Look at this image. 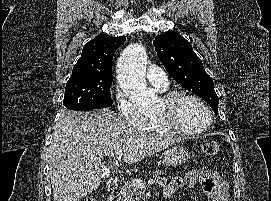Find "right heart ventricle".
Segmentation results:
<instances>
[{"mask_svg":"<svg viewBox=\"0 0 271 201\" xmlns=\"http://www.w3.org/2000/svg\"><path fill=\"white\" fill-rule=\"evenodd\" d=\"M144 130L150 134L158 135V136H167V137H176L179 135H175L166 130L155 117H151L148 125L144 128Z\"/></svg>","mask_w":271,"mask_h":201,"instance_id":"e07e8e85","label":"right heart ventricle"}]
</instances>
